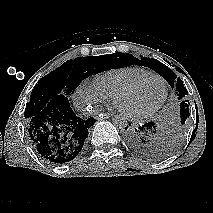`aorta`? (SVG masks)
Segmentation results:
<instances>
[{
	"label": "aorta",
	"mask_w": 213,
	"mask_h": 213,
	"mask_svg": "<svg viewBox=\"0 0 213 213\" xmlns=\"http://www.w3.org/2000/svg\"><path fill=\"white\" fill-rule=\"evenodd\" d=\"M113 125L119 129L120 131H124L128 126V122L125 116L123 115H116L113 118Z\"/></svg>",
	"instance_id": "762f6f07"
}]
</instances>
